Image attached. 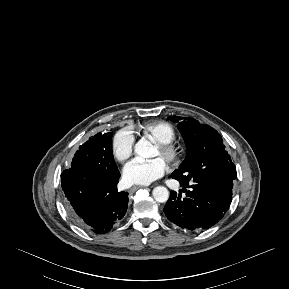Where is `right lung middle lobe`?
<instances>
[{"instance_id": "dd1d6c3e", "label": "right lung middle lobe", "mask_w": 289, "mask_h": 289, "mask_svg": "<svg viewBox=\"0 0 289 289\" xmlns=\"http://www.w3.org/2000/svg\"><path fill=\"white\" fill-rule=\"evenodd\" d=\"M112 132L97 133L79 147L71 163L72 170L108 173L117 168L112 154Z\"/></svg>"}]
</instances>
